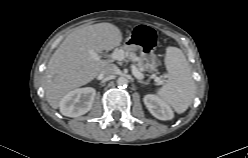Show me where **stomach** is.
<instances>
[{"mask_svg":"<svg viewBox=\"0 0 248 158\" xmlns=\"http://www.w3.org/2000/svg\"><path fill=\"white\" fill-rule=\"evenodd\" d=\"M142 59L148 64V66H146L147 71L149 72L155 71L157 64L153 53L150 54L143 53Z\"/></svg>","mask_w":248,"mask_h":158,"instance_id":"0dacf381","label":"stomach"}]
</instances>
